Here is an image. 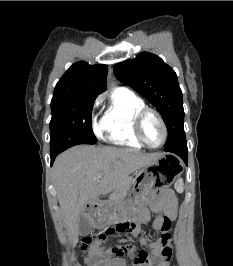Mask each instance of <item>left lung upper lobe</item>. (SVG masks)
Returning a JSON list of instances; mask_svg holds the SVG:
<instances>
[{
	"instance_id": "5c2ea615",
	"label": "left lung upper lobe",
	"mask_w": 233,
	"mask_h": 266,
	"mask_svg": "<svg viewBox=\"0 0 233 266\" xmlns=\"http://www.w3.org/2000/svg\"><path fill=\"white\" fill-rule=\"evenodd\" d=\"M114 73L157 108L168 130L166 145L185 134L182 91L177 75L160 57L142 52L132 60L118 63Z\"/></svg>"
}]
</instances>
